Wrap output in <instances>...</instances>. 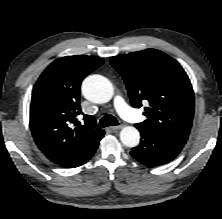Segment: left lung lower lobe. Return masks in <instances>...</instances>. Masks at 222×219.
Wrapping results in <instances>:
<instances>
[{
  "label": "left lung lower lobe",
  "mask_w": 222,
  "mask_h": 219,
  "mask_svg": "<svg viewBox=\"0 0 222 219\" xmlns=\"http://www.w3.org/2000/svg\"><path fill=\"white\" fill-rule=\"evenodd\" d=\"M135 127L140 131L142 139L130 153L137 161L148 167L172 161L184 146L183 143L153 132L144 126L135 125Z\"/></svg>",
  "instance_id": "0a47b994"
}]
</instances>
